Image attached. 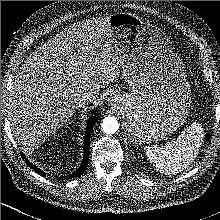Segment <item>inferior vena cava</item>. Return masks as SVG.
Instances as JSON below:
<instances>
[{"instance_id":"602c4592","label":"inferior vena cava","mask_w":220,"mask_h":220,"mask_svg":"<svg viewBox=\"0 0 220 220\" xmlns=\"http://www.w3.org/2000/svg\"><path fill=\"white\" fill-rule=\"evenodd\" d=\"M96 98H97V96L94 93L85 92L79 97V99L77 101V104H78L79 107H82V106H84V105H86L90 102L95 101Z\"/></svg>"}]
</instances>
